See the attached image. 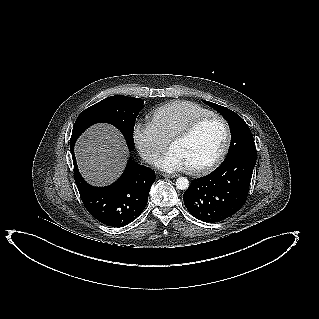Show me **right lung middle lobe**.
Returning <instances> with one entry per match:
<instances>
[{
    "label": "right lung middle lobe",
    "mask_w": 319,
    "mask_h": 319,
    "mask_svg": "<svg viewBox=\"0 0 319 319\" xmlns=\"http://www.w3.org/2000/svg\"><path fill=\"white\" fill-rule=\"evenodd\" d=\"M144 108L140 98L111 96L84 110L76 119L70 142H75L89 126L106 122L116 126L124 135L128 148L134 149L133 130L138 112Z\"/></svg>",
    "instance_id": "dd1d6c3e"
}]
</instances>
